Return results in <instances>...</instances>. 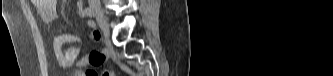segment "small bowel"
Returning a JSON list of instances; mask_svg holds the SVG:
<instances>
[{
  "mask_svg": "<svg viewBox=\"0 0 333 76\" xmlns=\"http://www.w3.org/2000/svg\"><path fill=\"white\" fill-rule=\"evenodd\" d=\"M58 0H36L35 5L38 14L46 21L53 22L57 18ZM77 7L82 17L86 16L83 10V2L77 1ZM88 25L94 28L95 24L88 21ZM94 39L100 38L99 32L93 33ZM65 44H71L70 47H64ZM81 40L79 37L59 32L54 36L53 49L58 62V66L62 69H69L73 65L77 67V76H85L82 68L86 66L99 67L105 60V55L99 52H90L88 55L79 57ZM97 73L95 69H91Z\"/></svg>",
  "mask_w": 333,
  "mask_h": 76,
  "instance_id": "obj_1",
  "label": "small bowel"
}]
</instances>
